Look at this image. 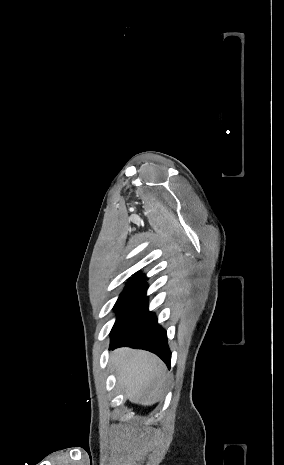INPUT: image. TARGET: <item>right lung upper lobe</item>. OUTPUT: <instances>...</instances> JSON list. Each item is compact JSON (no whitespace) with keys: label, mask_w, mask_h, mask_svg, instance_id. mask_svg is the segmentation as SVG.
<instances>
[{"label":"right lung upper lobe","mask_w":284,"mask_h":465,"mask_svg":"<svg viewBox=\"0 0 284 465\" xmlns=\"http://www.w3.org/2000/svg\"><path fill=\"white\" fill-rule=\"evenodd\" d=\"M134 280H146V276L144 274L136 273L133 275Z\"/></svg>","instance_id":"cb5924a9"}]
</instances>
